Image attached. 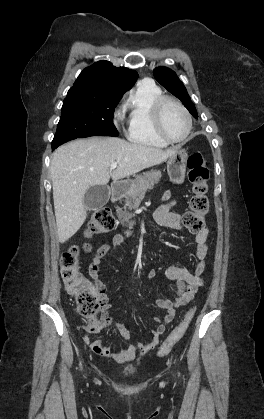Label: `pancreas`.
I'll use <instances>...</instances> for the list:
<instances>
[{"label": "pancreas", "instance_id": "pancreas-1", "mask_svg": "<svg viewBox=\"0 0 264 419\" xmlns=\"http://www.w3.org/2000/svg\"><path fill=\"white\" fill-rule=\"evenodd\" d=\"M161 177L162 174L158 170L144 172L135 177L125 191V207L123 209L116 208L117 215L122 223H127L129 226L133 225L131 221L133 215L128 213L126 208L129 210L136 209L144 198L146 191L152 189L160 181Z\"/></svg>", "mask_w": 264, "mask_h": 419}]
</instances>
